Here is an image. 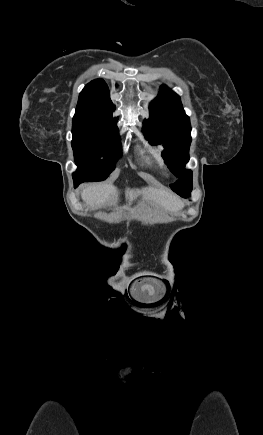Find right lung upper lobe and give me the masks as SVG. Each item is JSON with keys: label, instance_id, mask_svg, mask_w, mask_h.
Returning a JSON list of instances; mask_svg holds the SVG:
<instances>
[{"label": "right lung upper lobe", "instance_id": "1", "mask_svg": "<svg viewBox=\"0 0 263 435\" xmlns=\"http://www.w3.org/2000/svg\"><path fill=\"white\" fill-rule=\"evenodd\" d=\"M114 109L105 81L102 79L93 80L79 94L73 120L117 129V119L112 116Z\"/></svg>", "mask_w": 263, "mask_h": 435}]
</instances>
